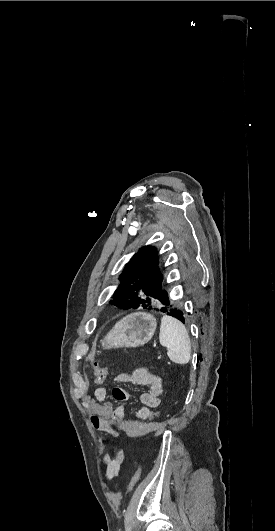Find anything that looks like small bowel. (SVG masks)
Returning <instances> with one entry per match:
<instances>
[{"label": "small bowel", "instance_id": "c3829d8e", "mask_svg": "<svg viewBox=\"0 0 275 531\" xmlns=\"http://www.w3.org/2000/svg\"><path fill=\"white\" fill-rule=\"evenodd\" d=\"M114 382L119 384H133L136 386L146 387L147 390L141 394L140 401L142 406L136 412V420L145 422L152 418L151 409L157 408L163 394V378L147 368L141 367L135 369L132 373L120 372L115 375ZM124 400L131 398L130 392H125ZM95 399L100 403L98 412L91 416V423L98 431H105L112 437L118 438L120 432L116 429L114 423L121 421L125 414V408L114 407L113 403L106 401L108 391L105 387H99L94 392ZM108 452L104 455L103 461L106 467L107 478L116 477L124 462L125 455L122 448L114 443L108 442Z\"/></svg>", "mask_w": 275, "mask_h": 531}]
</instances>
